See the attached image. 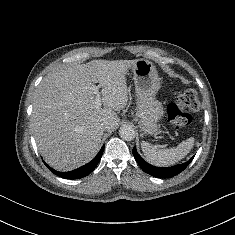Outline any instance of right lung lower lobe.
Segmentation results:
<instances>
[{"instance_id":"1","label":"right lung lower lobe","mask_w":235,"mask_h":235,"mask_svg":"<svg viewBox=\"0 0 235 235\" xmlns=\"http://www.w3.org/2000/svg\"><path fill=\"white\" fill-rule=\"evenodd\" d=\"M104 146H102V148L100 149V151L98 152V154L96 155V157L89 163H87L86 165L77 168L73 171H69V172H58L52 168H50L45 162L44 164L49 168V170L56 174L59 177L65 178V179H79V178H83L85 176H87L88 174H90L95 167L97 166V164L99 163L101 156L103 154L104 151Z\"/></svg>"}]
</instances>
